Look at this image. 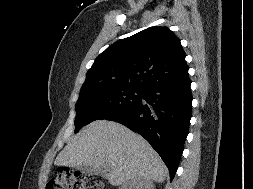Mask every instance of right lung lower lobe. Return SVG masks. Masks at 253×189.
Returning a JSON list of instances; mask_svg holds the SVG:
<instances>
[{
	"label": "right lung lower lobe",
	"instance_id": "98d812e1",
	"mask_svg": "<svg viewBox=\"0 0 253 189\" xmlns=\"http://www.w3.org/2000/svg\"><path fill=\"white\" fill-rule=\"evenodd\" d=\"M189 76L144 91L134 107L108 117L143 136L158 152L174 178L183 152L192 116Z\"/></svg>",
	"mask_w": 253,
	"mask_h": 189
}]
</instances>
